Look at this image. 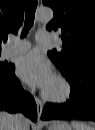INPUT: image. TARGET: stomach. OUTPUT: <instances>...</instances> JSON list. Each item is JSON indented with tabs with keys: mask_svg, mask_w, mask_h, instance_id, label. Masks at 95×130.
<instances>
[{
	"mask_svg": "<svg viewBox=\"0 0 95 130\" xmlns=\"http://www.w3.org/2000/svg\"><path fill=\"white\" fill-rule=\"evenodd\" d=\"M48 130H72V129L67 122L61 120H55L49 122Z\"/></svg>",
	"mask_w": 95,
	"mask_h": 130,
	"instance_id": "1",
	"label": "stomach"
}]
</instances>
